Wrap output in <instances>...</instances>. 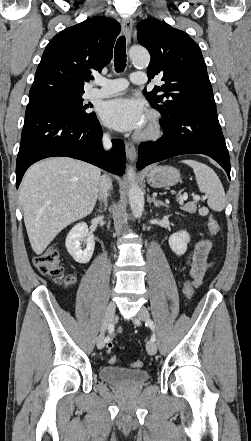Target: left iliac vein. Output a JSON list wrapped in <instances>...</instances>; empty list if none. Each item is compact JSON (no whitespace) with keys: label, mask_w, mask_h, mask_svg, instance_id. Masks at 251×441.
<instances>
[{"label":"left iliac vein","mask_w":251,"mask_h":441,"mask_svg":"<svg viewBox=\"0 0 251 441\" xmlns=\"http://www.w3.org/2000/svg\"><path fill=\"white\" fill-rule=\"evenodd\" d=\"M150 315L148 310L145 307H142L139 311V313L137 314V316L133 319L135 324H139L140 320L141 321H147L149 320ZM146 350L150 355H155L157 352V346L155 344V342H152L151 340L148 341L146 343Z\"/></svg>","instance_id":"1"}]
</instances>
